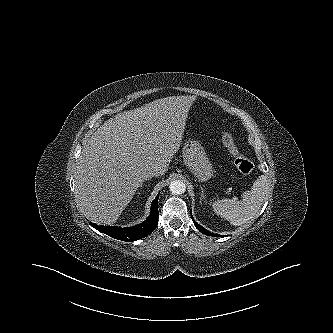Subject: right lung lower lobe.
Returning a JSON list of instances; mask_svg holds the SVG:
<instances>
[{"mask_svg":"<svg viewBox=\"0 0 333 333\" xmlns=\"http://www.w3.org/2000/svg\"><path fill=\"white\" fill-rule=\"evenodd\" d=\"M158 197L159 195H157L151 204V213L149 217L146 219V221L139 225L126 228L116 226H98L94 223H90V225L98 231L122 241L130 242L146 237L154 231L158 224Z\"/></svg>","mask_w":333,"mask_h":333,"instance_id":"obj_1","label":"right lung lower lobe"}]
</instances>
